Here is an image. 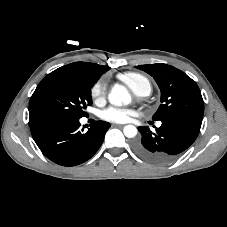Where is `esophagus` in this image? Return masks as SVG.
Listing matches in <instances>:
<instances>
[{
    "label": "esophagus",
    "mask_w": 227,
    "mask_h": 227,
    "mask_svg": "<svg viewBox=\"0 0 227 227\" xmlns=\"http://www.w3.org/2000/svg\"><path fill=\"white\" fill-rule=\"evenodd\" d=\"M114 127H123L124 125L122 124H113Z\"/></svg>",
    "instance_id": "obj_1"
}]
</instances>
